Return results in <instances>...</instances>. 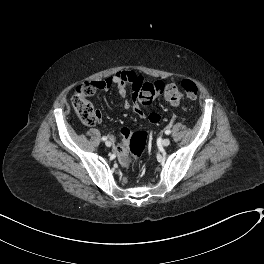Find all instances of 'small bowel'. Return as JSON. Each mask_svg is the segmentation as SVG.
<instances>
[{
  "label": "small bowel",
  "mask_w": 264,
  "mask_h": 264,
  "mask_svg": "<svg viewBox=\"0 0 264 264\" xmlns=\"http://www.w3.org/2000/svg\"><path fill=\"white\" fill-rule=\"evenodd\" d=\"M144 81H145L144 76L138 74L137 72L124 70L100 82H97L96 85L102 90H106L110 85H115L117 87L119 95L122 97H124L127 94L128 88L131 87V89L133 90V100L126 101L124 107L126 109L132 110L137 116L144 117L143 108L136 102L137 93ZM170 103L173 106H176L178 104V102H170ZM148 119L151 123L157 124L160 121V116L157 113H151ZM129 133L130 130L126 127L122 128L119 132V141L117 144L115 154L122 165L127 164L129 158V154L127 150L124 148V143H123L125 137L128 136ZM110 137L113 140H117V138L112 134L110 135Z\"/></svg>",
  "instance_id": "obj_1"
}]
</instances>
